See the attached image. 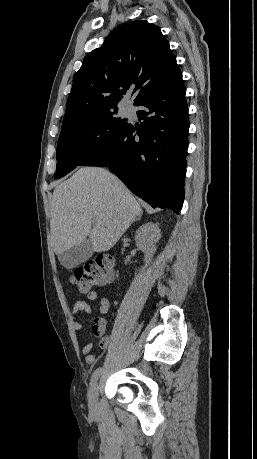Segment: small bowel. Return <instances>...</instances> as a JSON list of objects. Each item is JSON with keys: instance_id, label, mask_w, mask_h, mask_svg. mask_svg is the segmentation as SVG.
Masks as SVG:
<instances>
[{"instance_id": "obj_1", "label": "small bowel", "mask_w": 257, "mask_h": 459, "mask_svg": "<svg viewBox=\"0 0 257 459\" xmlns=\"http://www.w3.org/2000/svg\"><path fill=\"white\" fill-rule=\"evenodd\" d=\"M98 298V294L94 290H89L86 292V298L84 300H78L75 302L72 315L75 320L73 322V327L76 331H84L85 325L83 323V318L91 312L90 302L95 301ZM110 309V302L106 297L100 299L99 312L100 317L94 319L92 331L93 334L99 339V346L101 349L105 350L109 346V337L106 333L107 321L105 315ZM82 354L85 357V361L88 365L92 366L96 361V356L93 353V343L87 342L82 348Z\"/></svg>"}]
</instances>
